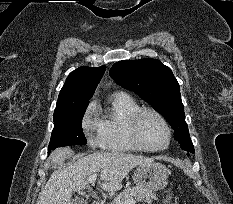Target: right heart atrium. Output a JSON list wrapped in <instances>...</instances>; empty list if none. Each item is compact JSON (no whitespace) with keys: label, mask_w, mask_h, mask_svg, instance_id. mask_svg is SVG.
<instances>
[{"label":"right heart atrium","mask_w":233,"mask_h":204,"mask_svg":"<svg viewBox=\"0 0 233 204\" xmlns=\"http://www.w3.org/2000/svg\"><path fill=\"white\" fill-rule=\"evenodd\" d=\"M83 133L91 148L103 147L100 122L96 115V108L93 103L87 107L81 121Z\"/></svg>","instance_id":"1"}]
</instances>
